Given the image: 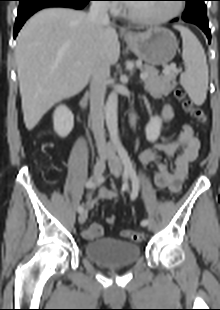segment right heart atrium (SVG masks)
I'll return each instance as SVG.
<instances>
[{"mask_svg":"<svg viewBox=\"0 0 220 310\" xmlns=\"http://www.w3.org/2000/svg\"><path fill=\"white\" fill-rule=\"evenodd\" d=\"M110 1V0H109ZM113 2V1H112ZM107 8L111 11H115L117 9L116 5L114 3H109Z\"/></svg>","mask_w":220,"mask_h":310,"instance_id":"d8ad5b80","label":"right heart atrium"}]
</instances>
